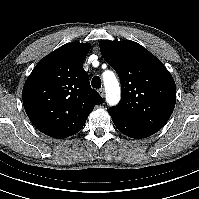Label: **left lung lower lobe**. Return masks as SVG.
<instances>
[{"mask_svg": "<svg viewBox=\"0 0 199 199\" xmlns=\"http://www.w3.org/2000/svg\"><path fill=\"white\" fill-rule=\"evenodd\" d=\"M109 114H110L115 126L117 127V129L120 132H122L123 134H125L131 138L141 139V138H146V137L154 134L153 132H150L141 127H138L136 125L129 123L122 117H120L112 112H109Z\"/></svg>", "mask_w": 199, "mask_h": 199, "instance_id": "1", "label": "left lung lower lobe"}]
</instances>
